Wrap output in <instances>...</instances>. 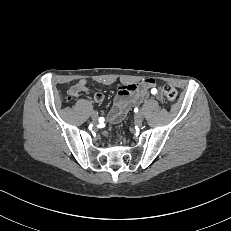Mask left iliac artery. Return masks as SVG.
Masks as SVG:
<instances>
[{
    "mask_svg": "<svg viewBox=\"0 0 231 231\" xmlns=\"http://www.w3.org/2000/svg\"><path fill=\"white\" fill-rule=\"evenodd\" d=\"M151 94H157V89L156 88H153L152 90H151Z\"/></svg>",
    "mask_w": 231,
    "mask_h": 231,
    "instance_id": "1",
    "label": "left iliac artery"
}]
</instances>
